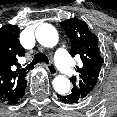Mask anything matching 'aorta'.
I'll return each mask as SVG.
<instances>
[{
    "instance_id": "1",
    "label": "aorta",
    "mask_w": 117,
    "mask_h": 117,
    "mask_svg": "<svg viewBox=\"0 0 117 117\" xmlns=\"http://www.w3.org/2000/svg\"><path fill=\"white\" fill-rule=\"evenodd\" d=\"M35 36L37 41L47 48L54 47L59 40L58 32L55 27L47 23L37 27ZM53 88L58 94L65 95L70 90V80L63 75H58L53 80Z\"/></svg>"
}]
</instances>
